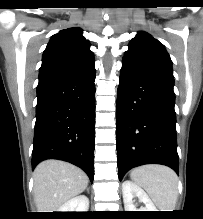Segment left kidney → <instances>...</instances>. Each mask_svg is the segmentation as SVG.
<instances>
[{
	"label": "left kidney",
	"instance_id": "obj_1",
	"mask_svg": "<svg viewBox=\"0 0 203 219\" xmlns=\"http://www.w3.org/2000/svg\"><path fill=\"white\" fill-rule=\"evenodd\" d=\"M122 192L125 211H157L146 192L137 184L129 180L124 181L122 184ZM134 197H137L140 202L145 204V206L136 209L133 202Z\"/></svg>",
	"mask_w": 203,
	"mask_h": 219
}]
</instances>
